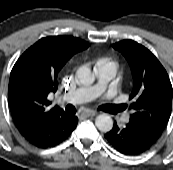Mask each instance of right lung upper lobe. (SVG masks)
<instances>
[{"label": "right lung upper lobe", "instance_id": "cb5924a9", "mask_svg": "<svg viewBox=\"0 0 173 170\" xmlns=\"http://www.w3.org/2000/svg\"><path fill=\"white\" fill-rule=\"evenodd\" d=\"M89 43L71 36H50L27 49L12 68L8 101L19 131L65 113L50 107L48 95L58 87L57 77L65 63Z\"/></svg>", "mask_w": 173, "mask_h": 170}]
</instances>
